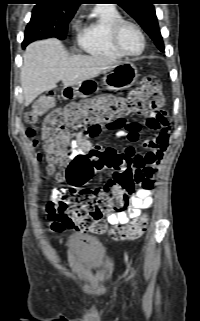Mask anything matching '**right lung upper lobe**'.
Instances as JSON below:
<instances>
[{"label":"right lung upper lobe","mask_w":200,"mask_h":321,"mask_svg":"<svg viewBox=\"0 0 200 321\" xmlns=\"http://www.w3.org/2000/svg\"><path fill=\"white\" fill-rule=\"evenodd\" d=\"M36 6H45L55 12L68 13L77 10L78 6L83 3L84 0H37Z\"/></svg>","instance_id":"1"}]
</instances>
